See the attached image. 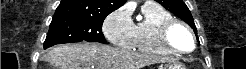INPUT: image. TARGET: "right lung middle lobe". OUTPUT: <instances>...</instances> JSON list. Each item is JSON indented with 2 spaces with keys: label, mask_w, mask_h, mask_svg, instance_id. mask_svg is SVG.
Returning a JSON list of instances; mask_svg holds the SVG:
<instances>
[{
  "label": "right lung middle lobe",
  "mask_w": 246,
  "mask_h": 69,
  "mask_svg": "<svg viewBox=\"0 0 246 69\" xmlns=\"http://www.w3.org/2000/svg\"><path fill=\"white\" fill-rule=\"evenodd\" d=\"M105 18H58L53 19L44 48L62 43L81 41L99 42L106 44L102 33V24Z\"/></svg>",
  "instance_id": "dd1d6c3e"
}]
</instances>
